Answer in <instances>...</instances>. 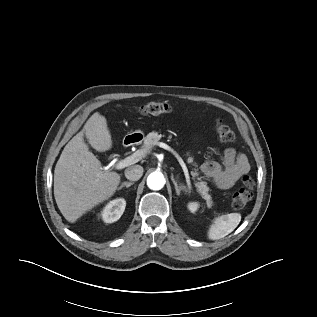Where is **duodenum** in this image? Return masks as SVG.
Segmentation results:
<instances>
[{
  "instance_id": "duodenum-1",
  "label": "duodenum",
  "mask_w": 317,
  "mask_h": 317,
  "mask_svg": "<svg viewBox=\"0 0 317 317\" xmlns=\"http://www.w3.org/2000/svg\"><path fill=\"white\" fill-rule=\"evenodd\" d=\"M139 139H140L139 135H136V134L127 136L124 139V146L130 147V146L134 145L136 142H138Z\"/></svg>"
}]
</instances>
